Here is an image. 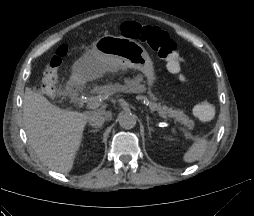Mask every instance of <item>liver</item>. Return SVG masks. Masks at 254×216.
Instances as JSON below:
<instances>
[{"label":"liver","instance_id":"1","mask_svg":"<svg viewBox=\"0 0 254 216\" xmlns=\"http://www.w3.org/2000/svg\"><path fill=\"white\" fill-rule=\"evenodd\" d=\"M80 59L73 65V70ZM119 69L118 62L106 61L101 73L93 78ZM105 108L87 113L61 109L27 88L23 99V122L30 145L40 161L57 172H70L89 117L98 112L111 118V112Z\"/></svg>","mask_w":254,"mask_h":216}]
</instances>
